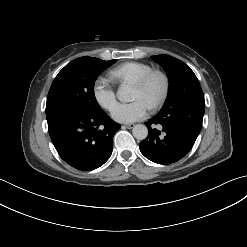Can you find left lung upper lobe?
I'll return each instance as SVG.
<instances>
[{"label": "left lung upper lobe", "instance_id": "5c2ea615", "mask_svg": "<svg viewBox=\"0 0 247 247\" xmlns=\"http://www.w3.org/2000/svg\"><path fill=\"white\" fill-rule=\"evenodd\" d=\"M151 58L163 67L169 79V95L159 113L187 103L205 104L199 81L190 67L169 55H155Z\"/></svg>", "mask_w": 247, "mask_h": 247}]
</instances>
